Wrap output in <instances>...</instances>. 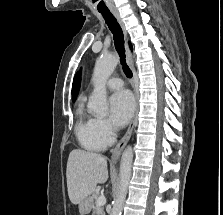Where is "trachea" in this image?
Listing matches in <instances>:
<instances>
[{
	"label": "trachea",
	"instance_id": "obj_1",
	"mask_svg": "<svg viewBox=\"0 0 223 215\" xmlns=\"http://www.w3.org/2000/svg\"><path fill=\"white\" fill-rule=\"evenodd\" d=\"M98 11L103 15V18L105 19L109 29L113 34L114 45L119 54L120 61L123 66V70L126 77L132 78V71L126 64L125 60L124 34L119 23L116 21V18L112 15V13L108 9L98 10Z\"/></svg>",
	"mask_w": 223,
	"mask_h": 215
}]
</instances>
